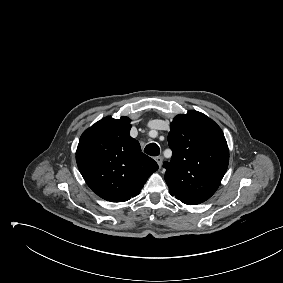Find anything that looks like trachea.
<instances>
[{"label":"trachea","instance_id":"1","mask_svg":"<svg viewBox=\"0 0 283 283\" xmlns=\"http://www.w3.org/2000/svg\"><path fill=\"white\" fill-rule=\"evenodd\" d=\"M144 152L150 156H158L160 148L156 143H150L145 147Z\"/></svg>","mask_w":283,"mask_h":283}]
</instances>
